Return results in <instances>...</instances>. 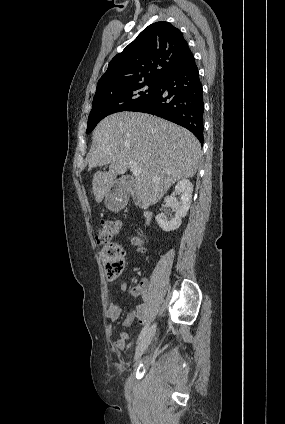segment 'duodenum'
I'll use <instances>...</instances> for the list:
<instances>
[{"instance_id":"duodenum-1","label":"duodenum","mask_w":285,"mask_h":424,"mask_svg":"<svg viewBox=\"0 0 285 424\" xmlns=\"http://www.w3.org/2000/svg\"><path fill=\"white\" fill-rule=\"evenodd\" d=\"M134 185H135L134 179H132L130 177H124L122 179V188L127 193H129L133 190ZM151 218H152V214L148 211H145L144 212V221H145L146 224H148L151 221Z\"/></svg>"}]
</instances>
